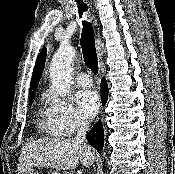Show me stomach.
<instances>
[{
    "label": "stomach",
    "mask_w": 175,
    "mask_h": 174,
    "mask_svg": "<svg viewBox=\"0 0 175 174\" xmlns=\"http://www.w3.org/2000/svg\"><path fill=\"white\" fill-rule=\"evenodd\" d=\"M55 174H59L58 172H53ZM22 174H39L37 171H35L34 169H28L25 172H23Z\"/></svg>",
    "instance_id": "1"
}]
</instances>
